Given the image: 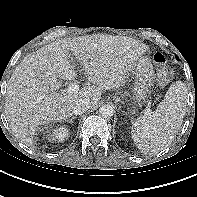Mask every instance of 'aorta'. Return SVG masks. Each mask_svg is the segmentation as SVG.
I'll return each instance as SVG.
<instances>
[{
	"mask_svg": "<svg viewBox=\"0 0 197 197\" xmlns=\"http://www.w3.org/2000/svg\"><path fill=\"white\" fill-rule=\"evenodd\" d=\"M99 113L103 118H111L114 115V108L110 104H104L99 108Z\"/></svg>",
	"mask_w": 197,
	"mask_h": 197,
	"instance_id": "762f6f07",
	"label": "aorta"
}]
</instances>
